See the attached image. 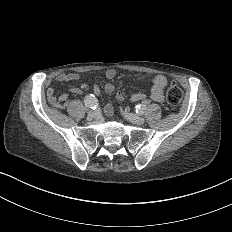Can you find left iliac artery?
<instances>
[{
	"instance_id": "44dca946",
	"label": "left iliac artery",
	"mask_w": 232,
	"mask_h": 232,
	"mask_svg": "<svg viewBox=\"0 0 232 232\" xmlns=\"http://www.w3.org/2000/svg\"><path fill=\"white\" fill-rule=\"evenodd\" d=\"M145 109H146L145 105L139 104V105L135 106V111L138 115H142L144 113Z\"/></svg>"
}]
</instances>
